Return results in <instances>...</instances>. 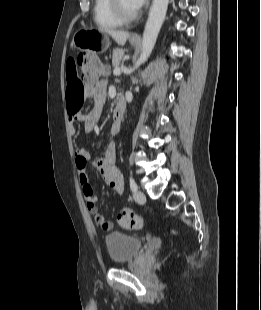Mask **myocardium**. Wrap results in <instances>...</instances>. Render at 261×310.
Wrapping results in <instances>:
<instances>
[{
	"label": "myocardium",
	"instance_id": "1",
	"mask_svg": "<svg viewBox=\"0 0 261 310\" xmlns=\"http://www.w3.org/2000/svg\"><path fill=\"white\" fill-rule=\"evenodd\" d=\"M110 8L113 14L122 22L128 23L136 20L139 17V11L127 13L121 4V0H109Z\"/></svg>",
	"mask_w": 261,
	"mask_h": 310
}]
</instances>
